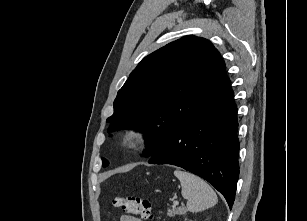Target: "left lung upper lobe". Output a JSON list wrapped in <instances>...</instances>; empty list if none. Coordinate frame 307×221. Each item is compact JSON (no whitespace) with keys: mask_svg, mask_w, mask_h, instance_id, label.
Segmentation results:
<instances>
[{"mask_svg":"<svg viewBox=\"0 0 307 221\" xmlns=\"http://www.w3.org/2000/svg\"><path fill=\"white\" fill-rule=\"evenodd\" d=\"M225 63L204 38L185 36L146 56L118 91L109 131L146 132L145 157L154 156L179 128L228 86ZM102 166L109 162L102 159Z\"/></svg>","mask_w":307,"mask_h":221,"instance_id":"5c2ea615","label":"left lung upper lobe"}]
</instances>
